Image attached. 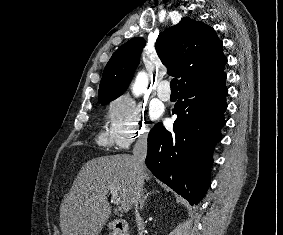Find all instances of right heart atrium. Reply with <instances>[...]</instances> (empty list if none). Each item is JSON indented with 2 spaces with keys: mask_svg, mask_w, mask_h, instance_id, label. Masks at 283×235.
<instances>
[{
  "mask_svg": "<svg viewBox=\"0 0 283 235\" xmlns=\"http://www.w3.org/2000/svg\"><path fill=\"white\" fill-rule=\"evenodd\" d=\"M108 126L111 143L121 150L128 149L135 141L145 139L149 133L144 111L127 96H121L112 102Z\"/></svg>",
  "mask_w": 283,
  "mask_h": 235,
  "instance_id": "d8ad5b80",
  "label": "right heart atrium"
}]
</instances>
